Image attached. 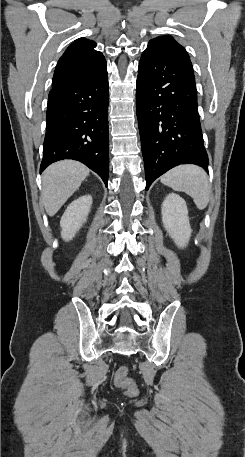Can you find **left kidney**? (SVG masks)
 <instances>
[{
    "mask_svg": "<svg viewBox=\"0 0 245 457\" xmlns=\"http://www.w3.org/2000/svg\"><path fill=\"white\" fill-rule=\"evenodd\" d=\"M161 212L165 231L178 247H187L192 229L184 198L176 192H170L162 202Z\"/></svg>",
    "mask_w": 245,
    "mask_h": 457,
    "instance_id": "5707ae66",
    "label": "left kidney"
}]
</instances>
